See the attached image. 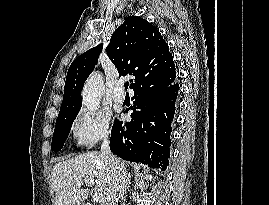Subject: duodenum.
<instances>
[{
    "label": "duodenum",
    "instance_id": "410a0bca",
    "mask_svg": "<svg viewBox=\"0 0 269 205\" xmlns=\"http://www.w3.org/2000/svg\"><path fill=\"white\" fill-rule=\"evenodd\" d=\"M82 205H91V204H89V203H84V204H82Z\"/></svg>",
    "mask_w": 269,
    "mask_h": 205
}]
</instances>
